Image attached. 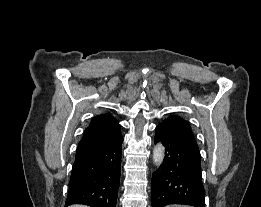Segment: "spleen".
<instances>
[{
	"label": "spleen",
	"mask_w": 261,
	"mask_h": 207,
	"mask_svg": "<svg viewBox=\"0 0 261 207\" xmlns=\"http://www.w3.org/2000/svg\"><path fill=\"white\" fill-rule=\"evenodd\" d=\"M177 207H186V206H177Z\"/></svg>",
	"instance_id": "spleen-1"
}]
</instances>
